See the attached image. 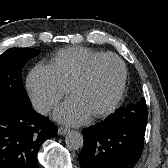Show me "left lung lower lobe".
I'll use <instances>...</instances> for the list:
<instances>
[{
	"label": "left lung lower lobe",
	"instance_id": "1",
	"mask_svg": "<svg viewBox=\"0 0 168 168\" xmlns=\"http://www.w3.org/2000/svg\"><path fill=\"white\" fill-rule=\"evenodd\" d=\"M146 103L120 107L104 121L83 129L82 168H133L144 147Z\"/></svg>",
	"mask_w": 168,
	"mask_h": 168
}]
</instances>
